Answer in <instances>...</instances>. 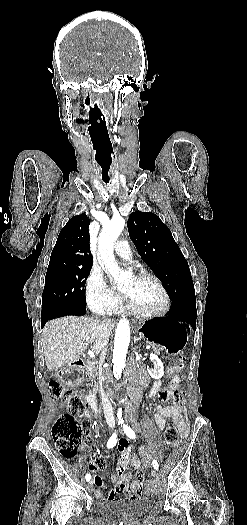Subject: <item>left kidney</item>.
I'll list each match as a JSON object with an SVG mask.
<instances>
[{
	"mask_svg": "<svg viewBox=\"0 0 247 525\" xmlns=\"http://www.w3.org/2000/svg\"><path fill=\"white\" fill-rule=\"evenodd\" d=\"M150 361H152V363H155L154 369H149L150 375H153V377H162L163 363H161L157 355H150Z\"/></svg>",
	"mask_w": 247,
	"mask_h": 525,
	"instance_id": "left-kidney-1",
	"label": "left kidney"
}]
</instances>
